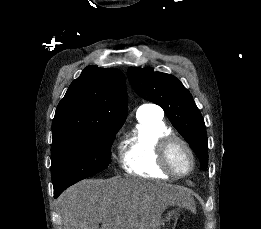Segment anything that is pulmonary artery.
Here are the masks:
<instances>
[{
  "instance_id": "pulmonary-artery-1",
  "label": "pulmonary artery",
  "mask_w": 261,
  "mask_h": 229,
  "mask_svg": "<svg viewBox=\"0 0 261 229\" xmlns=\"http://www.w3.org/2000/svg\"><path fill=\"white\" fill-rule=\"evenodd\" d=\"M147 106L156 107V106H154L153 104H150V103H145V104L141 105L140 107H147ZM137 116H140V115L137 114Z\"/></svg>"
}]
</instances>
